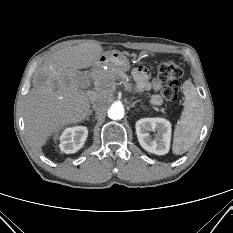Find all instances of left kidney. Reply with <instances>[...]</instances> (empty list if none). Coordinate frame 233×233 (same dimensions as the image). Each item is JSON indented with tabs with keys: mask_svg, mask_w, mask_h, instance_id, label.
Here are the masks:
<instances>
[{
	"mask_svg": "<svg viewBox=\"0 0 233 233\" xmlns=\"http://www.w3.org/2000/svg\"><path fill=\"white\" fill-rule=\"evenodd\" d=\"M138 141L143 149L156 154L165 155L169 152L171 141V123L164 118H142L135 125ZM150 131H156L152 138Z\"/></svg>",
	"mask_w": 233,
	"mask_h": 233,
	"instance_id": "1",
	"label": "left kidney"
}]
</instances>
